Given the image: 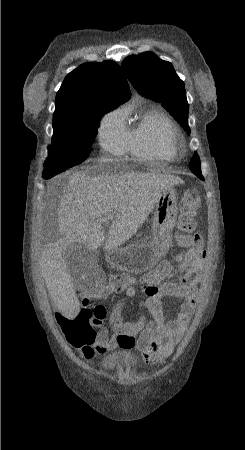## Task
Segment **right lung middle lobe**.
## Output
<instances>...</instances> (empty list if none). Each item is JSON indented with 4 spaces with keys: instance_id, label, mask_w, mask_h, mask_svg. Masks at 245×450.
Instances as JSON below:
<instances>
[{
    "instance_id": "1",
    "label": "right lung middle lobe",
    "mask_w": 245,
    "mask_h": 450,
    "mask_svg": "<svg viewBox=\"0 0 245 450\" xmlns=\"http://www.w3.org/2000/svg\"><path fill=\"white\" fill-rule=\"evenodd\" d=\"M117 106L113 103H98L84 112L54 117L51 150L48 152L43 178L49 179L86 160L102 115Z\"/></svg>"
}]
</instances>
